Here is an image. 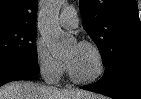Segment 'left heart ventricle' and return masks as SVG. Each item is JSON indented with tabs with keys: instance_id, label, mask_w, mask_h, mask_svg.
Segmentation results:
<instances>
[{
	"instance_id": "b2bd125f",
	"label": "left heart ventricle",
	"mask_w": 141,
	"mask_h": 99,
	"mask_svg": "<svg viewBox=\"0 0 141 99\" xmlns=\"http://www.w3.org/2000/svg\"><path fill=\"white\" fill-rule=\"evenodd\" d=\"M66 61L69 63L74 74L81 78H87L94 75L98 69V61L94 52L83 46H73L66 55Z\"/></svg>"
}]
</instances>
